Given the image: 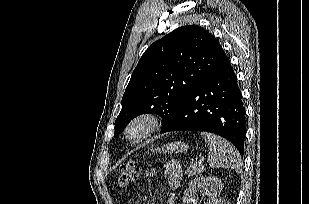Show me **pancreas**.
<instances>
[{"instance_id": "1", "label": "pancreas", "mask_w": 309, "mask_h": 204, "mask_svg": "<svg viewBox=\"0 0 309 204\" xmlns=\"http://www.w3.org/2000/svg\"><path fill=\"white\" fill-rule=\"evenodd\" d=\"M204 171V167L201 163H192L188 169L185 171V174L188 176H193L200 174Z\"/></svg>"}]
</instances>
